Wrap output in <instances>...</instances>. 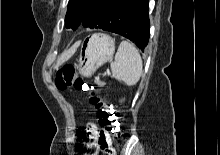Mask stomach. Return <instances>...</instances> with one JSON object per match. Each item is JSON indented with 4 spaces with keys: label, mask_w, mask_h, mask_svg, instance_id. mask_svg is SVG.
I'll list each match as a JSON object with an SVG mask.
<instances>
[{
    "label": "stomach",
    "mask_w": 220,
    "mask_h": 155,
    "mask_svg": "<svg viewBox=\"0 0 220 155\" xmlns=\"http://www.w3.org/2000/svg\"><path fill=\"white\" fill-rule=\"evenodd\" d=\"M115 41L107 34L97 33L84 40L78 67L84 77H90L114 54Z\"/></svg>",
    "instance_id": "stomach-1"
}]
</instances>
